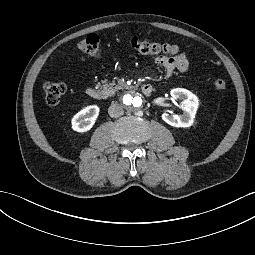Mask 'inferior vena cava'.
<instances>
[{"label": "inferior vena cava", "instance_id": "1", "mask_svg": "<svg viewBox=\"0 0 255 255\" xmlns=\"http://www.w3.org/2000/svg\"><path fill=\"white\" fill-rule=\"evenodd\" d=\"M109 116L112 118H118L123 115V109L118 103H112L108 108Z\"/></svg>", "mask_w": 255, "mask_h": 255}]
</instances>
